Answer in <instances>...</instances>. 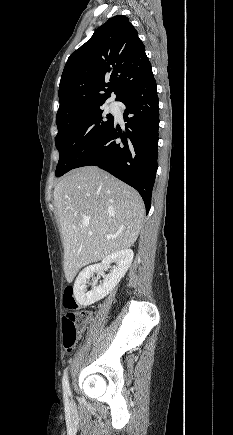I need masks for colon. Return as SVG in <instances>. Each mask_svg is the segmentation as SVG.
Segmentation results:
<instances>
[{
    "mask_svg": "<svg viewBox=\"0 0 233 435\" xmlns=\"http://www.w3.org/2000/svg\"><path fill=\"white\" fill-rule=\"evenodd\" d=\"M63 304L67 309L73 310L63 316L64 348L67 352H71L80 332L89 321L90 314L87 311H77L78 304L72 285H67L64 289Z\"/></svg>",
    "mask_w": 233,
    "mask_h": 435,
    "instance_id": "5ec220e1",
    "label": "colon"
}]
</instances>
